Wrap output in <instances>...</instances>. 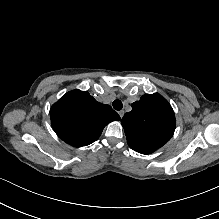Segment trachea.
Masks as SVG:
<instances>
[{"label":"trachea","instance_id":"obj_1","mask_svg":"<svg viewBox=\"0 0 219 219\" xmlns=\"http://www.w3.org/2000/svg\"><path fill=\"white\" fill-rule=\"evenodd\" d=\"M112 105H113V108L118 111H120L123 108V104L119 99L114 100Z\"/></svg>","mask_w":219,"mask_h":219}]
</instances>
